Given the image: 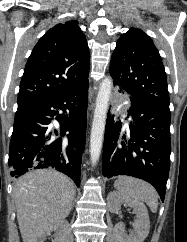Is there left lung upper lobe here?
I'll return each instance as SVG.
<instances>
[{
  "label": "left lung upper lobe",
  "instance_id": "1",
  "mask_svg": "<svg viewBox=\"0 0 187 242\" xmlns=\"http://www.w3.org/2000/svg\"><path fill=\"white\" fill-rule=\"evenodd\" d=\"M109 72L119 89L149 105L170 111L166 72L151 38L131 28L121 35Z\"/></svg>",
  "mask_w": 187,
  "mask_h": 242
}]
</instances>
